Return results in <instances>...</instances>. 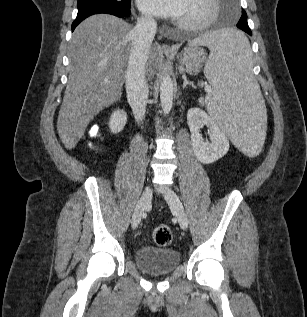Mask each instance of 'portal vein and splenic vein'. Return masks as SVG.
Masks as SVG:
<instances>
[{"label": "portal vein and splenic vein", "instance_id": "1", "mask_svg": "<svg viewBox=\"0 0 307 317\" xmlns=\"http://www.w3.org/2000/svg\"><path fill=\"white\" fill-rule=\"evenodd\" d=\"M204 89H205L206 92H209V91L211 90V87H210L209 85H206V86L204 87Z\"/></svg>", "mask_w": 307, "mask_h": 317}]
</instances>
